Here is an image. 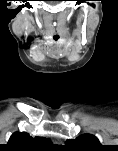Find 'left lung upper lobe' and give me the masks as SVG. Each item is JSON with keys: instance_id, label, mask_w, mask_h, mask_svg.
<instances>
[{"instance_id": "obj_1", "label": "left lung upper lobe", "mask_w": 118, "mask_h": 151, "mask_svg": "<svg viewBox=\"0 0 118 151\" xmlns=\"http://www.w3.org/2000/svg\"><path fill=\"white\" fill-rule=\"evenodd\" d=\"M67 147L77 151H91L96 150L101 146L99 140L90 134H83L75 140L69 139L66 141Z\"/></svg>"}]
</instances>
